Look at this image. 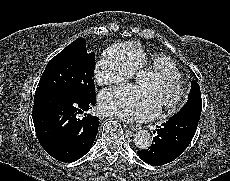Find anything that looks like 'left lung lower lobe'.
Listing matches in <instances>:
<instances>
[{
	"mask_svg": "<svg viewBox=\"0 0 230 181\" xmlns=\"http://www.w3.org/2000/svg\"><path fill=\"white\" fill-rule=\"evenodd\" d=\"M199 118L183 116L156 125L157 133L147 150L138 151L139 157L153 166H160L176 159L187 148L197 129Z\"/></svg>",
	"mask_w": 230,
	"mask_h": 181,
	"instance_id": "obj_1",
	"label": "left lung lower lobe"
}]
</instances>
